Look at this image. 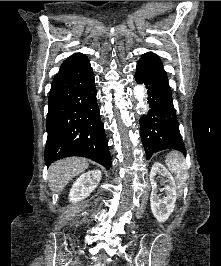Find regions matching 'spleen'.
<instances>
[{
	"instance_id": "obj_1",
	"label": "spleen",
	"mask_w": 221,
	"mask_h": 266,
	"mask_svg": "<svg viewBox=\"0 0 221 266\" xmlns=\"http://www.w3.org/2000/svg\"><path fill=\"white\" fill-rule=\"evenodd\" d=\"M169 170L174 173L178 187L183 189L188 179L187 164L185 159L177 152L169 153L165 161Z\"/></svg>"
}]
</instances>
